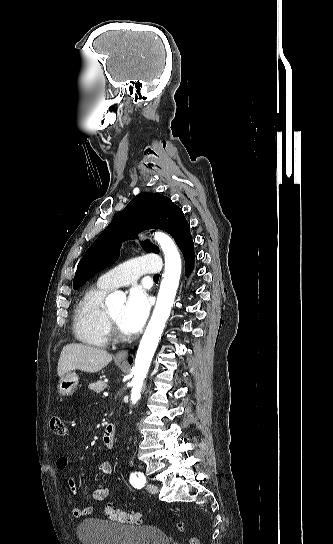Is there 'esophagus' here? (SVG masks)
<instances>
[{
  "mask_svg": "<svg viewBox=\"0 0 333 544\" xmlns=\"http://www.w3.org/2000/svg\"><path fill=\"white\" fill-rule=\"evenodd\" d=\"M129 351L128 350H121L116 353L115 359L119 361H125L128 357Z\"/></svg>",
  "mask_w": 333,
  "mask_h": 544,
  "instance_id": "esophagus-1",
  "label": "esophagus"
}]
</instances>
